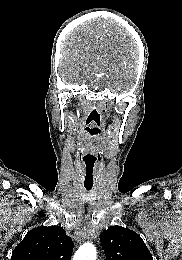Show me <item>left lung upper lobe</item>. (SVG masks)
<instances>
[{
	"instance_id": "left-lung-upper-lobe-1",
	"label": "left lung upper lobe",
	"mask_w": 182,
	"mask_h": 260,
	"mask_svg": "<svg viewBox=\"0 0 182 260\" xmlns=\"http://www.w3.org/2000/svg\"><path fill=\"white\" fill-rule=\"evenodd\" d=\"M100 241L107 260H153L142 238L128 228L111 226Z\"/></svg>"
}]
</instances>
